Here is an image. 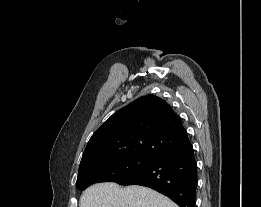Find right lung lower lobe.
I'll return each instance as SVG.
<instances>
[{"instance_id":"1","label":"right lung lower lobe","mask_w":261,"mask_h":207,"mask_svg":"<svg viewBox=\"0 0 261 207\" xmlns=\"http://www.w3.org/2000/svg\"><path fill=\"white\" fill-rule=\"evenodd\" d=\"M118 184L150 187L180 207H195L197 164L191 143L157 157L152 165Z\"/></svg>"}]
</instances>
